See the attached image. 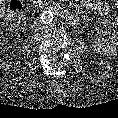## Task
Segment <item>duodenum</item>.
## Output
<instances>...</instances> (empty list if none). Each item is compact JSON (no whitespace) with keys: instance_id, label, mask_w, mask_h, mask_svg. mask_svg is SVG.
<instances>
[{"instance_id":"duodenum-1","label":"duodenum","mask_w":118,"mask_h":118,"mask_svg":"<svg viewBox=\"0 0 118 118\" xmlns=\"http://www.w3.org/2000/svg\"><path fill=\"white\" fill-rule=\"evenodd\" d=\"M43 9L57 13L71 25H78L79 23V20L75 13L71 9L58 2L48 3L44 5Z\"/></svg>"}]
</instances>
